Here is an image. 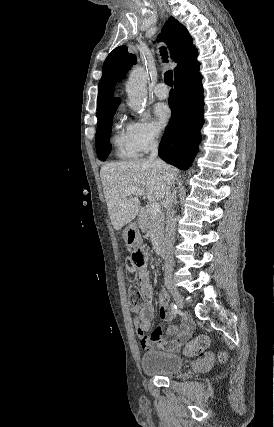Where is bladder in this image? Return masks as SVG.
<instances>
[{
    "label": "bladder",
    "mask_w": 274,
    "mask_h": 427,
    "mask_svg": "<svg viewBox=\"0 0 274 427\" xmlns=\"http://www.w3.org/2000/svg\"><path fill=\"white\" fill-rule=\"evenodd\" d=\"M184 364L178 353L146 352L141 355L145 375L172 376L180 373Z\"/></svg>",
    "instance_id": "31cf9c89"
}]
</instances>
